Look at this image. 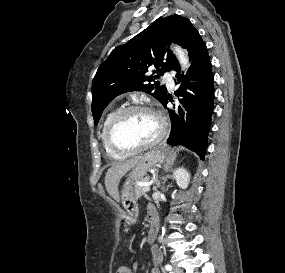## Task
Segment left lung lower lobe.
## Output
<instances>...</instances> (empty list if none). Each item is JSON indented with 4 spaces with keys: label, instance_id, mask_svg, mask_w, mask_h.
<instances>
[{
    "label": "left lung lower lobe",
    "instance_id": "left-lung-lower-lobe-1",
    "mask_svg": "<svg viewBox=\"0 0 285 273\" xmlns=\"http://www.w3.org/2000/svg\"><path fill=\"white\" fill-rule=\"evenodd\" d=\"M186 48L191 59L187 74H180L178 63L173 68L178 83H181L175 92L178 101L174 109L166 107L167 96L162 102L172 122L167 143L183 145L203 160L213 111L214 81L207 47L197 30L192 32Z\"/></svg>",
    "mask_w": 285,
    "mask_h": 273
}]
</instances>
